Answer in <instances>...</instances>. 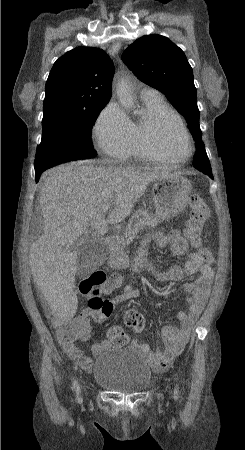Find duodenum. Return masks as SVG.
Instances as JSON below:
<instances>
[{"mask_svg":"<svg viewBox=\"0 0 245 450\" xmlns=\"http://www.w3.org/2000/svg\"><path fill=\"white\" fill-rule=\"evenodd\" d=\"M106 242L112 254L117 253L123 245L122 240L116 236L107 237Z\"/></svg>","mask_w":245,"mask_h":450,"instance_id":"duodenum-1","label":"duodenum"}]
</instances>
